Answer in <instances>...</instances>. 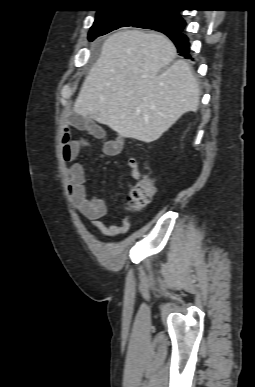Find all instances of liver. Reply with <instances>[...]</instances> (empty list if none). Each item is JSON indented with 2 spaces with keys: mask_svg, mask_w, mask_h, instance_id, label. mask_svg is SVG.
<instances>
[{
  "mask_svg": "<svg viewBox=\"0 0 255 387\" xmlns=\"http://www.w3.org/2000/svg\"><path fill=\"white\" fill-rule=\"evenodd\" d=\"M175 57L174 44L160 33L125 30L109 36L73 110L122 137L156 141L199 105L198 81L189 64L173 62Z\"/></svg>",
  "mask_w": 255,
  "mask_h": 387,
  "instance_id": "6515ba94",
  "label": "liver"
}]
</instances>
